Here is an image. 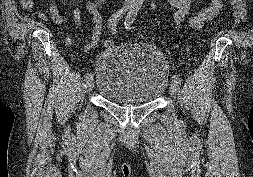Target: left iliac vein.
I'll return each mask as SVG.
<instances>
[{"mask_svg": "<svg viewBox=\"0 0 253 177\" xmlns=\"http://www.w3.org/2000/svg\"><path fill=\"white\" fill-rule=\"evenodd\" d=\"M177 91H178V84L175 83L174 81H172L171 84H170V92L173 96H176Z\"/></svg>", "mask_w": 253, "mask_h": 177, "instance_id": "left-iliac-vein-1", "label": "left iliac vein"}]
</instances>
